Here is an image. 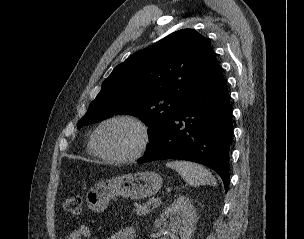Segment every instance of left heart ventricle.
Wrapping results in <instances>:
<instances>
[{"instance_id": "left-heart-ventricle-1", "label": "left heart ventricle", "mask_w": 304, "mask_h": 239, "mask_svg": "<svg viewBox=\"0 0 304 239\" xmlns=\"http://www.w3.org/2000/svg\"><path fill=\"white\" fill-rule=\"evenodd\" d=\"M139 141L138 128L128 122L110 123L99 131L97 137L101 150L111 155L128 154L138 146Z\"/></svg>"}]
</instances>
